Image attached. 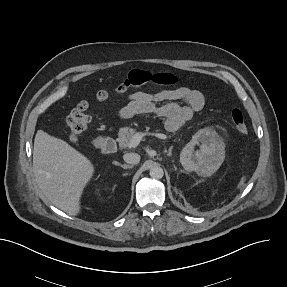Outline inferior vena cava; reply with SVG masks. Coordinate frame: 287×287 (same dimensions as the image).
Instances as JSON below:
<instances>
[{
	"mask_svg": "<svg viewBox=\"0 0 287 287\" xmlns=\"http://www.w3.org/2000/svg\"><path fill=\"white\" fill-rule=\"evenodd\" d=\"M123 159L126 163L135 165L139 163L140 155L137 153H126L124 154Z\"/></svg>",
	"mask_w": 287,
	"mask_h": 287,
	"instance_id": "inferior-vena-cava-1",
	"label": "inferior vena cava"
}]
</instances>
